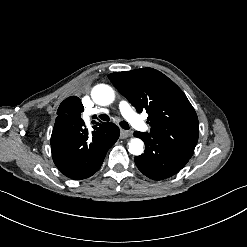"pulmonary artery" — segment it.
Masks as SVG:
<instances>
[{
	"mask_svg": "<svg viewBox=\"0 0 247 247\" xmlns=\"http://www.w3.org/2000/svg\"><path fill=\"white\" fill-rule=\"evenodd\" d=\"M119 110L122 116L128 121L132 122L136 128L150 130L149 125L146 124V117L140 119L139 115L136 114L132 105L125 99H121L118 102ZM107 109L89 110L85 113V123L90 124L91 117L94 114L108 113Z\"/></svg>",
	"mask_w": 247,
	"mask_h": 247,
	"instance_id": "pulmonary-artery-1",
	"label": "pulmonary artery"
}]
</instances>
